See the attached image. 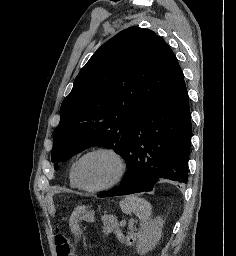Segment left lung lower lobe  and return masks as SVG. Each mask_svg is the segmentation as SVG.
<instances>
[{
  "label": "left lung lower lobe",
  "instance_id": "left-lung-lower-lobe-1",
  "mask_svg": "<svg viewBox=\"0 0 236 256\" xmlns=\"http://www.w3.org/2000/svg\"><path fill=\"white\" fill-rule=\"evenodd\" d=\"M183 79L134 123L123 156L126 174L119 187L98 197L151 191L162 179L187 183L191 116Z\"/></svg>",
  "mask_w": 236,
  "mask_h": 256
}]
</instances>
